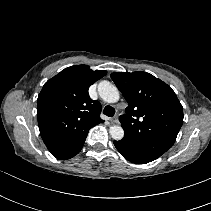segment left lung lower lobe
<instances>
[{"mask_svg": "<svg viewBox=\"0 0 211 211\" xmlns=\"http://www.w3.org/2000/svg\"><path fill=\"white\" fill-rule=\"evenodd\" d=\"M114 145L117 150L130 162L135 164H146L153 160H150L137 151H135L127 142L123 139L120 141H114Z\"/></svg>", "mask_w": 211, "mask_h": 211, "instance_id": "1", "label": "left lung lower lobe"}]
</instances>
